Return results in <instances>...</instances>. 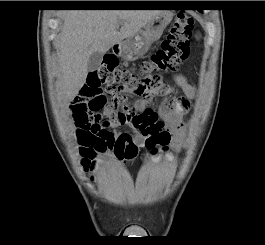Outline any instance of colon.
Masks as SVG:
<instances>
[{"label": "colon", "mask_w": 265, "mask_h": 245, "mask_svg": "<svg viewBox=\"0 0 265 245\" xmlns=\"http://www.w3.org/2000/svg\"><path fill=\"white\" fill-rule=\"evenodd\" d=\"M194 27V18L181 13L176 17L161 47L149 60L142 61L135 71L119 68L118 58L108 54L106 60L88 75V86L92 92L105 93L113 99L115 105L123 103L121 93L125 90L144 100L147 105L145 111L132 114L123 107L118 121L120 124H131L142 133L145 149L149 153L166 150L171 137L164 122L150 108L153 100L164 92L159 74L177 72L187 60ZM105 103L106 98L102 95L101 105H92L91 112L81 113L78 117V143L86 148H106L120 156H134V149L125 146L122 140L115 139L113 133L100 129V123L106 121H103L98 111ZM73 112L76 113L75 108Z\"/></svg>", "instance_id": "obj_1"}]
</instances>
